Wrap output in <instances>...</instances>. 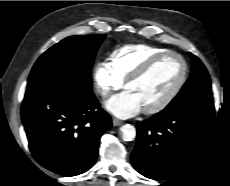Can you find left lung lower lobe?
<instances>
[{
    "mask_svg": "<svg viewBox=\"0 0 230 186\" xmlns=\"http://www.w3.org/2000/svg\"><path fill=\"white\" fill-rule=\"evenodd\" d=\"M213 97L166 107L137 123V141L131 155L143 176L166 180L182 170L202 148L214 121Z\"/></svg>",
    "mask_w": 230,
    "mask_h": 186,
    "instance_id": "obj_1",
    "label": "left lung lower lobe"
}]
</instances>
